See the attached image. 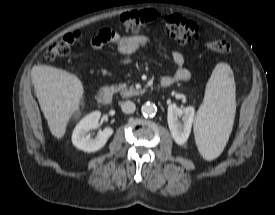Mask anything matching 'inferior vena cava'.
<instances>
[{"instance_id": "1", "label": "inferior vena cava", "mask_w": 275, "mask_h": 215, "mask_svg": "<svg viewBox=\"0 0 275 215\" xmlns=\"http://www.w3.org/2000/svg\"><path fill=\"white\" fill-rule=\"evenodd\" d=\"M135 108V104L132 101H125L121 104V109L124 113H133Z\"/></svg>"}]
</instances>
